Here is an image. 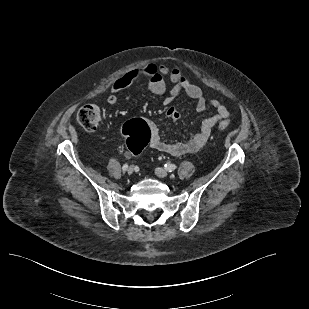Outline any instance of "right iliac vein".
<instances>
[{
  "label": "right iliac vein",
  "instance_id": "1",
  "mask_svg": "<svg viewBox=\"0 0 309 309\" xmlns=\"http://www.w3.org/2000/svg\"><path fill=\"white\" fill-rule=\"evenodd\" d=\"M133 172H134V168H133V166H130V167L127 169V173H128L129 175H131Z\"/></svg>",
  "mask_w": 309,
  "mask_h": 309
}]
</instances>
